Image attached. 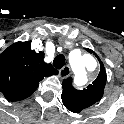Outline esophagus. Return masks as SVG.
Instances as JSON below:
<instances>
[{
  "label": "esophagus",
  "mask_w": 124,
  "mask_h": 124,
  "mask_svg": "<svg viewBox=\"0 0 124 124\" xmlns=\"http://www.w3.org/2000/svg\"><path fill=\"white\" fill-rule=\"evenodd\" d=\"M71 74V68L67 65L59 70V77L61 79L67 78Z\"/></svg>",
  "instance_id": "obj_1"
}]
</instances>
